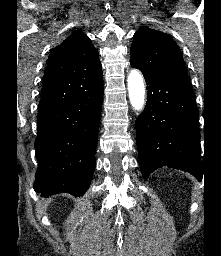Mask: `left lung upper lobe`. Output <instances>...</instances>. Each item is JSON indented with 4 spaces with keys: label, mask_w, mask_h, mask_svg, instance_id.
Masks as SVG:
<instances>
[{
    "label": "left lung upper lobe",
    "mask_w": 221,
    "mask_h": 256,
    "mask_svg": "<svg viewBox=\"0 0 221 256\" xmlns=\"http://www.w3.org/2000/svg\"><path fill=\"white\" fill-rule=\"evenodd\" d=\"M130 63L141 70L145 79L188 80L184 60L174 40L166 33L145 26L134 34Z\"/></svg>",
    "instance_id": "obj_1"
}]
</instances>
